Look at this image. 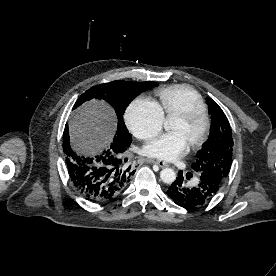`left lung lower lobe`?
Listing matches in <instances>:
<instances>
[{
  "label": "left lung lower lobe",
  "instance_id": "0a47b994",
  "mask_svg": "<svg viewBox=\"0 0 276 276\" xmlns=\"http://www.w3.org/2000/svg\"><path fill=\"white\" fill-rule=\"evenodd\" d=\"M196 179L192 185L188 182L192 177L189 172L183 175L178 172V177L167 190L169 197L179 206L185 209L197 208L209 202L221 187L219 178L204 169L195 172Z\"/></svg>",
  "mask_w": 276,
  "mask_h": 276
}]
</instances>
